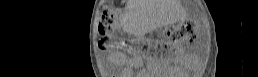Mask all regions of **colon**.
<instances>
[{"label":"colon","instance_id":"colon-1","mask_svg":"<svg viewBox=\"0 0 258 77\" xmlns=\"http://www.w3.org/2000/svg\"><path fill=\"white\" fill-rule=\"evenodd\" d=\"M119 19L118 14L104 7L100 11L99 34L101 41L106 42L110 37L114 36L118 30ZM196 37L195 24L191 20H185L180 26L171 29L168 32V38L172 41H183L194 39Z\"/></svg>","mask_w":258,"mask_h":77}]
</instances>
